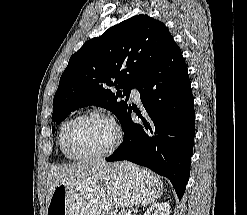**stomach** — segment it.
Segmentation results:
<instances>
[{"mask_svg":"<svg viewBox=\"0 0 247 215\" xmlns=\"http://www.w3.org/2000/svg\"><path fill=\"white\" fill-rule=\"evenodd\" d=\"M162 182L147 169L128 162L103 169L82 188L59 184L47 215H107L117 208L145 206L161 194Z\"/></svg>","mask_w":247,"mask_h":215,"instance_id":"1","label":"stomach"}]
</instances>
